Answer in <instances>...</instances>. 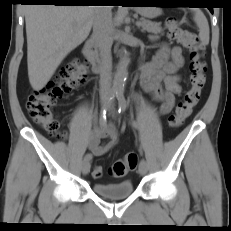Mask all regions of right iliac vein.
I'll return each instance as SVG.
<instances>
[{
	"label": "right iliac vein",
	"instance_id": "1",
	"mask_svg": "<svg viewBox=\"0 0 231 231\" xmlns=\"http://www.w3.org/2000/svg\"><path fill=\"white\" fill-rule=\"evenodd\" d=\"M107 98L108 97L106 95H103L101 97V102L103 103V105L106 103ZM90 167H91L90 160H84V162L82 163V173L84 175L88 174L90 171Z\"/></svg>",
	"mask_w": 231,
	"mask_h": 231
}]
</instances>
